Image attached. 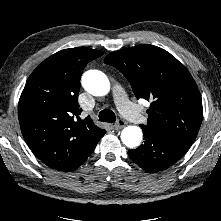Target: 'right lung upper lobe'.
I'll return each mask as SVG.
<instances>
[{
    "instance_id": "1",
    "label": "right lung upper lobe",
    "mask_w": 221,
    "mask_h": 221,
    "mask_svg": "<svg viewBox=\"0 0 221 221\" xmlns=\"http://www.w3.org/2000/svg\"><path fill=\"white\" fill-rule=\"evenodd\" d=\"M102 51L86 47L61 50L30 75L18 104L23 137L34 154L50 168L77 169L105 134L78 104L80 78Z\"/></svg>"
}]
</instances>
